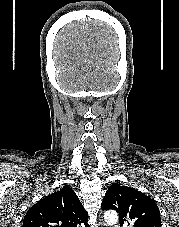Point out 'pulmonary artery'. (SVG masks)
Wrapping results in <instances>:
<instances>
[{
  "label": "pulmonary artery",
  "instance_id": "pulmonary-artery-1",
  "mask_svg": "<svg viewBox=\"0 0 179 227\" xmlns=\"http://www.w3.org/2000/svg\"><path fill=\"white\" fill-rule=\"evenodd\" d=\"M114 227H121L120 225H114Z\"/></svg>",
  "mask_w": 179,
  "mask_h": 227
}]
</instances>
